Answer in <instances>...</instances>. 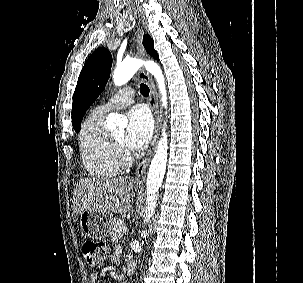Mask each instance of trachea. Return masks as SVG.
Wrapping results in <instances>:
<instances>
[{"instance_id": "trachea-1", "label": "trachea", "mask_w": 303, "mask_h": 283, "mask_svg": "<svg viewBox=\"0 0 303 283\" xmlns=\"http://www.w3.org/2000/svg\"><path fill=\"white\" fill-rule=\"evenodd\" d=\"M149 87L146 84H140V93L144 96V97H148L149 96Z\"/></svg>"}]
</instances>
